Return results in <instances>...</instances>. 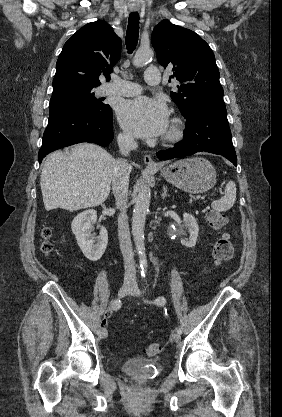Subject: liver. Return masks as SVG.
Instances as JSON below:
<instances>
[{
	"mask_svg": "<svg viewBox=\"0 0 282 417\" xmlns=\"http://www.w3.org/2000/svg\"><path fill=\"white\" fill-rule=\"evenodd\" d=\"M116 160L98 144H75L68 154H48L40 186L46 211H79L99 206L110 192Z\"/></svg>",
	"mask_w": 282,
	"mask_h": 417,
	"instance_id": "1",
	"label": "liver"
}]
</instances>
